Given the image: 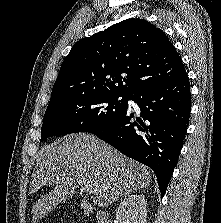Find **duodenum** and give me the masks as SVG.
Returning <instances> with one entry per match:
<instances>
[{"label":"duodenum","instance_id":"obj_1","mask_svg":"<svg viewBox=\"0 0 221 223\" xmlns=\"http://www.w3.org/2000/svg\"><path fill=\"white\" fill-rule=\"evenodd\" d=\"M90 212L89 206L87 203L83 204V216H87ZM98 223H110V217L107 211L100 209L97 212Z\"/></svg>","mask_w":221,"mask_h":223}]
</instances>
